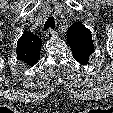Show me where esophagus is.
Here are the masks:
<instances>
[{
  "label": "esophagus",
  "mask_w": 113,
  "mask_h": 113,
  "mask_svg": "<svg viewBox=\"0 0 113 113\" xmlns=\"http://www.w3.org/2000/svg\"><path fill=\"white\" fill-rule=\"evenodd\" d=\"M56 34V31L52 30V29H49L45 32V37L47 38H51L53 37L54 35Z\"/></svg>",
  "instance_id": "34e87169"
}]
</instances>
